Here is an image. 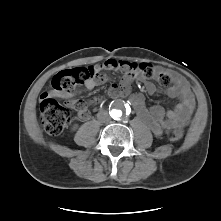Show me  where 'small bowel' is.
<instances>
[{
	"label": "small bowel",
	"instance_id": "c3829d8e",
	"mask_svg": "<svg viewBox=\"0 0 221 221\" xmlns=\"http://www.w3.org/2000/svg\"><path fill=\"white\" fill-rule=\"evenodd\" d=\"M95 77L84 83V89L91 91L95 87L108 81L105 71H119L124 74L119 85H113L110 89V95L115 96L114 92L120 90L117 96H130V101L135 108L138 117L149 127L156 136H161L170 130H179L181 133L190 121L193 113L195 100L188 85L179 81L178 84L166 89V93L173 98L178 99L177 105L172 110H165L162 106L154 105L147 108L144 97L139 93H132L131 84L135 77L141 78L138 72H132L131 64L124 60L108 59L102 64L94 66ZM146 90L149 94L157 92V87L151 83H146ZM79 93L78 90L63 92L57 94L58 97L67 99L66 105L77 111L78 116L87 119L90 116L89 106L100 103L99 98L89 102L75 99Z\"/></svg>",
	"mask_w": 221,
	"mask_h": 221
}]
</instances>
